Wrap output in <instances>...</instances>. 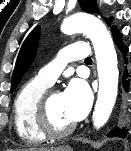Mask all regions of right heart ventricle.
<instances>
[{"instance_id": "obj_1", "label": "right heart ventricle", "mask_w": 131, "mask_h": 151, "mask_svg": "<svg viewBox=\"0 0 131 151\" xmlns=\"http://www.w3.org/2000/svg\"><path fill=\"white\" fill-rule=\"evenodd\" d=\"M49 85L38 78L26 82L18 91L13 110L14 127L18 136L30 144L41 143L46 136L36 120L37 104Z\"/></svg>"}]
</instances>
